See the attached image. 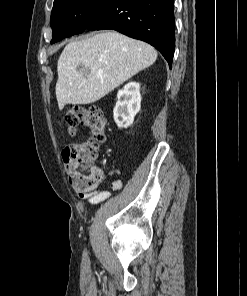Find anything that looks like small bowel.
I'll use <instances>...</instances> for the list:
<instances>
[{
	"label": "small bowel",
	"instance_id": "obj_1",
	"mask_svg": "<svg viewBox=\"0 0 247 296\" xmlns=\"http://www.w3.org/2000/svg\"><path fill=\"white\" fill-rule=\"evenodd\" d=\"M111 188L113 190H120L122 188V181L115 179L111 182ZM111 192L109 190L99 191H85L79 194V198L87 200L90 205H98L109 198Z\"/></svg>",
	"mask_w": 247,
	"mask_h": 296
}]
</instances>
